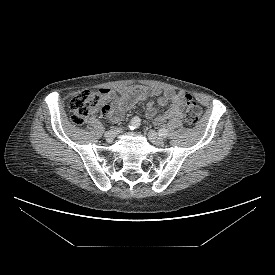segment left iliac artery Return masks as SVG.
<instances>
[{"mask_svg": "<svg viewBox=\"0 0 275 275\" xmlns=\"http://www.w3.org/2000/svg\"><path fill=\"white\" fill-rule=\"evenodd\" d=\"M158 133H159V136L167 137V135H168V130L165 129V128H161V129H159Z\"/></svg>", "mask_w": 275, "mask_h": 275, "instance_id": "obj_1", "label": "left iliac artery"}]
</instances>
